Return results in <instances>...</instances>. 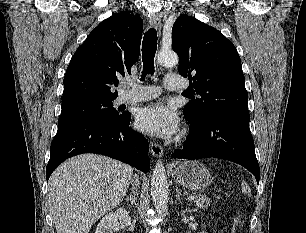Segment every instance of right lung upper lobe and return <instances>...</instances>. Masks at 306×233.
I'll use <instances>...</instances> for the list:
<instances>
[{
    "mask_svg": "<svg viewBox=\"0 0 306 233\" xmlns=\"http://www.w3.org/2000/svg\"><path fill=\"white\" fill-rule=\"evenodd\" d=\"M143 21L128 12L103 20L76 50L64 78L62 104L116 99L118 77L131 73L140 54Z\"/></svg>",
    "mask_w": 306,
    "mask_h": 233,
    "instance_id": "obj_1",
    "label": "right lung upper lobe"
}]
</instances>
